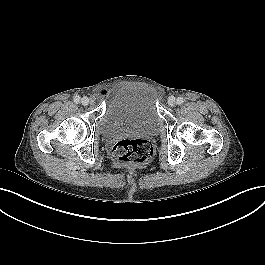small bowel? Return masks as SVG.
<instances>
[{
  "label": "small bowel",
  "instance_id": "obj_1",
  "mask_svg": "<svg viewBox=\"0 0 265 265\" xmlns=\"http://www.w3.org/2000/svg\"><path fill=\"white\" fill-rule=\"evenodd\" d=\"M100 94H101L102 96H106V95L108 94V90H107V89L102 90V91L100 92Z\"/></svg>",
  "mask_w": 265,
  "mask_h": 265
}]
</instances>
